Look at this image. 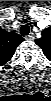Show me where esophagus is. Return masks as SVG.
<instances>
[{
	"label": "esophagus",
	"mask_w": 51,
	"mask_h": 101,
	"mask_svg": "<svg viewBox=\"0 0 51 101\" xmlns=\"http://www.w3.org/2000/svg\"><path fill=\"white\" fill-rule=\"evenodd\" d=\"M33 38H34L33 33H30L25 37V39H27V40H32Z\"/></svg>",
	"instance_id": "obj_1"
}]
</instances>
